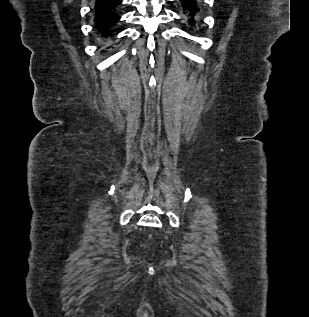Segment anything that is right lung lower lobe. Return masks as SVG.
<instances>
[{
  "mask_svg": "<svg viewBox=\"0 0 309 317\" xmlns=\"http://www.w3.org/2000/svg\"><path fill=\"white\" fill-rule=\"evenodd\" d=\"M121 3L122 0H96L94 23L96 33L101 39L110 40L117 34Z\"/></svg>",
  "mask_w": 309,
  "mask_h": 317,
  "instance_id": "obj_1",
  "label": "right lung lower lobe"
}]
</instances>
